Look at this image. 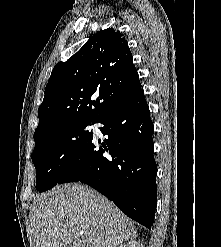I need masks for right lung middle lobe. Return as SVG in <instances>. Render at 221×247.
Returning <instances> with one entry per match:
<instances>
[{
    "instance_id": "1",
    "label": "right lung middle lobe",
    "mask_w": 221,
    "mask_h": 247,
    "mask_svg": "<svg viewBox=\"0 0 221 247\" xmlns=\"http://www.w3.org/2000/svg\"><path fill=\"white\" fill-rule=\"evenodd\" d=\"M95 122H68L34 137L32 161L36 168V189L44 192L58 184L70 165L81 154L93 132Z\"/></svg>"
}]
</instances>
